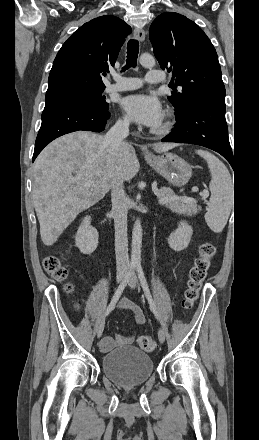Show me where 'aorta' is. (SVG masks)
Returning <instances> with one entry per match:
<instances>
[{
  "instance_id": "1",
  "label": "aorta",
  "mask_w": 259,
  "mask_h": 440,
  "mask_svg": "<svg viewBox=\"0 0 259 440\" xmlns=\"http://www.w3.org/2000/svg\"><path fill=\"white\" fill-rule=\"evenodd\" d=\"M139 62L145 68L152 69L155 66V59L153 58V56L149 54L141 55L139 58ZM141 246H142V226L140 219H136L132 231V252H131L132 262H140Z\"/></svg>"
}]
</instances>
